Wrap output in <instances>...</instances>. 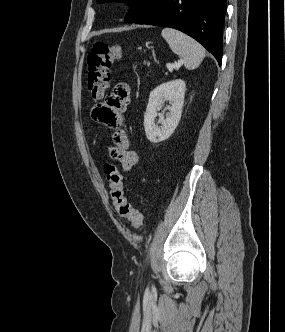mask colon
Instances as JSON below:
<instances>
[{
  "mask_svg": "<svg viewBox=\"0 0 285 332\" xmlns=\"http://www.w3.org/2000/svg\"><path fill=\"white\" fill-rule=\"evenodd\" d=\"M122 57V49L118 45L97 42L87 57L88 89L94 102L101 101L107 92L110 82V70L114 62ZM109 182L110 197L119 215L128 220L133 229H139L143 223V215L128 201L123 177L118 167L110 162L104 166Z\"/></svg>",
  "mask_w": 285,
  "mask_h": 332,
  "instance_id": "1",
  "label": "colon"
}]
</instances>
